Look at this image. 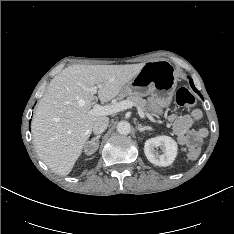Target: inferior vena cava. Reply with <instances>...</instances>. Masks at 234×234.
Segmentation results:
<instances>
[{
  "label": "inferior vena cava",
  "mask_w": 234,
  "mask_h": 234,
  "mask_svg": "<svg viewBox=\"0 0 234 234\" xmlns=\"http://www.w3.org/2000/svg\"><path fill=\"white\" fill-rule=\"evenodd\" d=\"M109 124L108 117L99 118L92 126V130L94 134H101L104 132Z\"/></svg>",
  "instance_id": "obj_1"
}]
</instances>
